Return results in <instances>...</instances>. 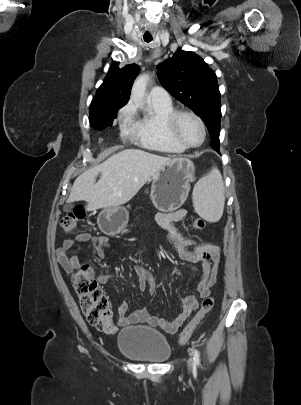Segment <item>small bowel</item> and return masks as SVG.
Wrapping results in <instances>:
<instances>
[{
	"label": "small bowel",
	"mask_w": 301,
	"mask_h": 405,
	"mask_svg": "<svg viewBox=\"0 0 301 405\" xmlns=\"http://www.w3.org/2000/svg\"><path fill=\"white\" fill-rule=\"evenodd\" d=\"M187 216V210L178 209L175 212L157 214L158 224L168 232V240L175 247L180 259L190 263H202V274L196 287V293L181 299V312L173 320L151 315L147 309H138L127 314L128 304L123 301L117 308V321L120 325L148 323L158 326L168 333H174L198 307L199 300L208 297L216 282L220 248L213 244L199 243L195 239L184 237L174 226V222L183 220ZM90 242L93 246L97 259L104 260L105 250L110 246L107 236H95L89 233H80L63 241L61 247L56 250V257L63 269L71 273L80 267L79 260L75 255L68 256L66 251L72 249L77 243ZM138 284L141 290L153 293L155 290L154 278L150 271L141 265L135 266ZM112 274L106 273L98 276L99 284H106L112 279Z\"/></svg>",
	"instance_id": "obj_1"
}]
</instances>
